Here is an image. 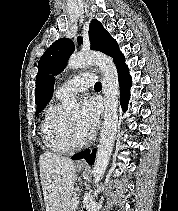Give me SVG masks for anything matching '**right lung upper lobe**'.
Instances as JSON below:
<instances>
[{"label": "right lung upper lobe", "instance_id": "obj_1", "mask_svg": "<svg viewBox=\"0 0 178 211\" xmlns=\"http://www.w3.org/2000/svg\"><path fill=\"white\" fill-rule=\"evenodd\" d=\"M53 88H54V79L48 77L44 82L36 98V103H37L36 112H40L45 107V105L50 101L51 96L53 94Z\"/></svg>", "mask_w": 178, "mask_h": 211}]
</instances>
